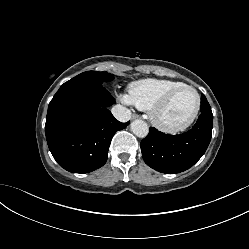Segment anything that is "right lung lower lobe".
I'll return each instance as SVG.
<instances>
[{"label": "right lung lower lobe", "mask_w": 249, "mask_h": 249, "mask_svg": "<svg viewBox=\"0 0 249 249\" xmlns=\"http://www.w3.org/2000/svg\"><path fill=\"white\" fill-rule=\"evenodd\" d=\"M114 103L103 85L87 79L73 78L60 87L49 103L45 134L61 167L89 173L105 164L112 137L129 124L108 110Z\"/></svg>", "instance_id": "right-lung-lower-lobe-1"}]
</instances>
